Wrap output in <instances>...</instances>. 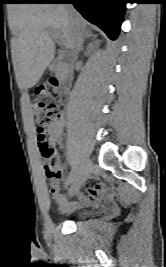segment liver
<instances>
[{
    "instance_id": "liver-1",
    "label": "liver",
    "mask_w": 166,
    "mask_h": 267,
    "mask_svg": "<svg viewBox=\"0 0 166 267\" xmlns=\"http://www.w3.org/2000/svg\"><path fill=\"white\" fill-rule=\"evenodd\" d=\"M82 31L85 19L71 6L63 4H22L18 6L16 29L18 40L13 62L18 86H35L55 55V45L48 34L54 29L60 33L67 48H71V25Z\"/></svg>"
}]
</instances>
